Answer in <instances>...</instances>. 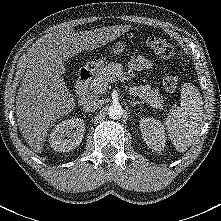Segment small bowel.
<instances>
[{
  "instance_id": "c3829d8e",
  "label": "small bowel",
  "mask_w": 221,
  "mask_h": 221,
  "mask_svg": "<svg viewBox=\"0 0 221 221\" xmlns=\"http://www.w3.org/2000/svg\"><path fill=\"white\" fill-rule=\"evenodd\" d=\"M152 67V62L143 56H135L128 62V69L130 72L135 70H150Z\"/></svg>"
}]
</instances>
